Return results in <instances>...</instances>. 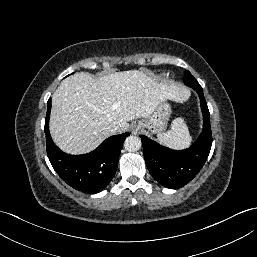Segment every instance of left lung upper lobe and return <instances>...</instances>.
I'll list each match as a JSON object with an SVG mask.
<instances>
[{"mask_svg":"<svg viewBox=\"0 0 257 257\" xmlns=\"http://www.w3.org/2000/svg\"><path fill=\"white\" fill-rule=\"evenodd\" d=\"M183 81H184L185 85H187L195 90L198 88H202L200 86V84L198 83V81L192 76V74L188 70H186L184 73Z\"/></svg>","mask_w":257,"mask_h":257,"instance_id":"left-lung-upper-lobe-1","label":"left lung upper lobe"}]
</instances>
